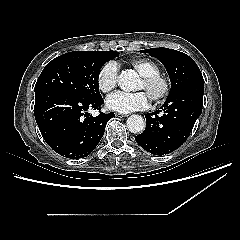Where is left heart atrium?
Instances as JSON below:
<instances>
[{
    "label": "left heart atrium",
    "instance_id": "obj_1",
    "mask_svg": "<svg viewBox=\"0 0 240 240\" xmlns=\"http://www.w3.org/2000/svg\"><path fill=\"white\" fill-rule=\"evenodd\" d=\"M106 103L108 108L115 112L130 113L146 109L149 106V98L143 91H116L107 97Z\"/></svg>",
    "mask_w": 240,
    "mask_h": 240
}]
</instances>
